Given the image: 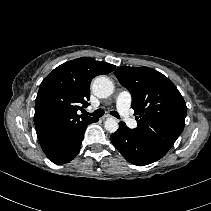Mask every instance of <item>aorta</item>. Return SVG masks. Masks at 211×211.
I'll list each match as a JSON object with an SVG mask.
<instances>
[{
  "label": "aorta",
  "mask_w": 211,
  "mask_h": 211,
  "mask_svg": "<svg viewBox=\"0 0 211 211\" xmlns=\"http://www.w3.org/2000/svg\"><path fill=\"white\" fill-rule=\"evenodd\" d=\"M92 91L98 98H107L113 93L114 85L109 78L99 76L92 83ZM104 127L108 132L114 133L118 130L119 125L116 119L108 118Z\"/></svg>",
  "instance_id": "obj_1"
}]
</instances>
